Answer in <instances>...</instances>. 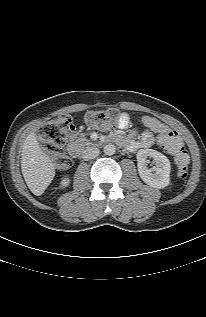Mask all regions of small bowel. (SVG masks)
Instances as JSON below:
<instances>
[{
    "instance_id": "obj_1",
    "label": "small bowel",
    "mask_w": 206,
    "mask_h": 317,
    "mask_svg": "<svg viewBox=\"0 0 206 317\" xmlns=\"http://www.w3.org/2000/svg\"><path fill=\"white\" fill-rule=\"evenodd\" d=\"M142 124L147 130L142 134L139 140H136V131L131 130L126 137H119L118 140L122 142L129 150H137L139 148H146L153 145L157 136L160 142L165 135L173 132L166 124L151 116H144L141 119ZM130 125V117L127 113H123L120 117L118 127L126 129ZM156 135V136H155Z\"/></svg>"
}]
</instances>
